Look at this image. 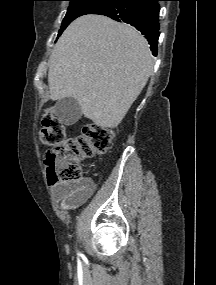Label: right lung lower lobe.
Listing matches in <instances>:
<instances>
[{
  "label": "right lung lower lobe",
  "instance_id": "98d812e1",
  "mask_svg": "<svg viewBox=\"0 0 216 285\" xmlns=\"http://www.w3.org/2000/svg\"><path fill=\"white\" fill-rule=\"evenodd\" d=\"M161 0H116L94 14L108 16L134 26L147 38L153 55H157L159 38V4Z\"/></svg>",
  "mask_w": 216,
  "mask_h": 285
}]
</instances>
